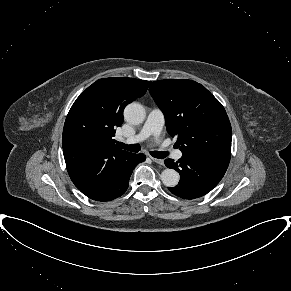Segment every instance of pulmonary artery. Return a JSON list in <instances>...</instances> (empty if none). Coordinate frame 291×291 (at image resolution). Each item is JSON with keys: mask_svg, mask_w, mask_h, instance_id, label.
Listing matches in <instances>:
<instances>
[{"mask_svg": "<svg viewBox=\"0 0 291 291\" xmlns=\"http://www.w3.org/2000/svg\"><path fill=\"white\" fill-rule=\"evenodd\" d=\"M163 124H164L163 112L158 108H154L149 112L147 119L140 132L136 136L124 139L123 141L128 144H134L141 142L150 136L158 138L162 131ZM173 157L175 159H180L182 157V152L180 150H176L173 153Z\"/></svg>", "mask_w": 291, "mask_h": 291, "instance_id": "e3ab8cb5", "label": "pulmonary artery"}]
</instances>
